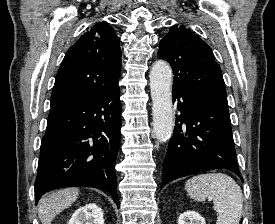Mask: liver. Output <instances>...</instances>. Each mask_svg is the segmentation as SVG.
<instances>
[{"label":"liver","instance_id":"1","mask_svg":"<svg viewBox=\"0 0 275 224\" xmlns=\"http://www.w3.org/2000/svg\"><path fill=\"white\" fill-rule=\"evenodd\" d=\"M79 195L78 188H66L55 191L39 201V219L42 224H51L52 220L65 208L74 203Z\"/></svg>","mask_w":275,"mask_h":224}]
</instances>
